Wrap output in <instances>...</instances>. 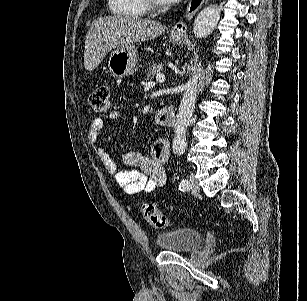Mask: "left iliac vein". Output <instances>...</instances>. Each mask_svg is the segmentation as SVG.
Wrapping results in <instances>:
<instances>
[{
    "label": "left iliac vein",
    "instance_id": "obj_1",
    "mask_svg": "<svg viewBox=\"0 0 307 301\" xmlns=\"http://www.w3.org/2000/svg\"><path fill=\"white\" fill-rule=\"evenodd\" d=\"M190 181H191V184L188 187L189 191H191L193 194H198L200 189L193 176H190Z\"/></svg>",
    "mask_w": 307,
    "mask_h": 301
}]
</instances>
